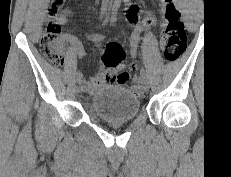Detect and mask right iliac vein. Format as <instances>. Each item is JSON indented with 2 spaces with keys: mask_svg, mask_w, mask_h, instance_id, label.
Instances as JSON below:
<instances>
[{
  "mask_svg": "<svg viewBox=\"0 0 231 177\" xmlns=\"http://www.w3.org/2000/svg\"><path fill=\"white\" fill-rule=\"evenodd\" d=\"M85 89L84 85L82 83H78L77 87H76V92L80 93Z\"/></svg>",
  "mask_w": 231,
  "mask_h": 177,
  "instance_id": "right-iliac-vein-1",
  "label": "right iliac vein"
}]
</instances>
